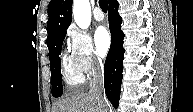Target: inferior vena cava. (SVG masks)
<instances>
[{"label":"inferior vena cava","instance_id":"inferior-vena-cava-1","mask_svg":"<svg viewBox=\"0 0 193 112\" xmlns=\"http://www.w3.org/2000/svg\"><path fill=\"white\" fill-rule=\"evenodd\" d=\"M91 76L89 93L98 97L103 107L102 112H108L103 94V64L101 62H94Z\"/></svg>","mask_w":193,"mask_h":112}]
</instances>
